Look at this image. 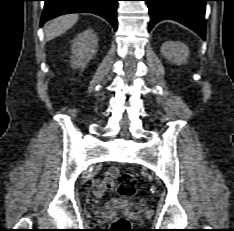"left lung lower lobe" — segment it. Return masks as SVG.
I'll return each mask as SVG.
<instances>
[{"label":"left lung lower lobe","instance_id":"1","mask_svg":"<svg viewBox=\"0 0 234 231\" xmlns=\"http://www.w3.org/2000/svg\"><path fill=\"white\" fill-rule=\"evenodd\" d=\"M151 21L149 31L161 20L171 19L195 31L205 39V8L209 0H145Z\"/></svg>","mask_w":234,"mask_h":231}]
</instances>
